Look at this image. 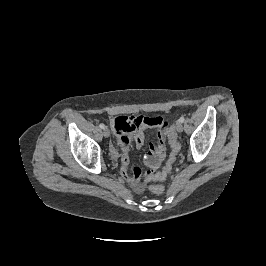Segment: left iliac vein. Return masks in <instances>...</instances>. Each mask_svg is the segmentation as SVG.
<instances>
[{
	"instance_id": "left-iliac-vein-1",
	"label": "left iliac vein",
	"mask_w": 266,
	"mask_h": 266,
	"mask_svg": "<svg viewBox=\"0 0 266 266\" xmlns=\"http://www.w3.org/2000/svg\"><path fill=\"white\" fill-rule=\"evenodd\" d=\"M175 128H176V131L177 132H182L183 131V125H182V123L181 122H177Z\"/></svg>"
}]
</instances>
